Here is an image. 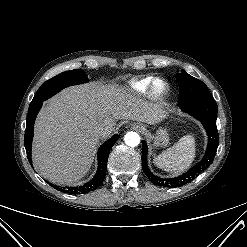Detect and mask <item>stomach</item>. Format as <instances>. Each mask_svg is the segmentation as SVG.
<instances>
[{"instance_id":"stomach-1","label":"stomach","mask_w":247,"mask_h":247,"mask_svg":"<svg viewBox=\"0 0 247 247\" xmlns=\"http://www.w3.org/2000/svg\"><path fill=\"white\" fill-rule=\"evenodd\" d=\"M170 137L166 128L160 127L153 136V147L162 148L169 144Z\"/></svg>"}]
</instances>
